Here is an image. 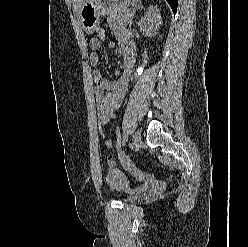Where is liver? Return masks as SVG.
<instances>
[{"mask_svg":"<svg viewBox=\"0 0 248 247\" xmlns=\"http://www.w3.org/2000/svg\"><path fill=\"white\" fill-rule=\"evenodd\" d=\"M86 0H74L77 13Z\"/></svg>","mask_w":248,"mask_h":247,"instance_id":"obj_1","label":"liver"}]
</instances>
